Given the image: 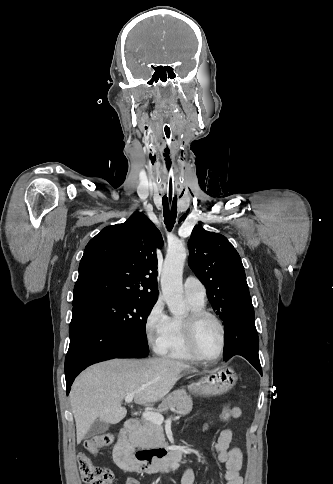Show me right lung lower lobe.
<instances>
[{"mask_svg":"<svg viewBox=\"0 0 333 484\" xmlns=\"http://www.w3.org/2000/svg\"><path fill=\"white\" fill-rule=\"evenodd\" d=\"M65 359L67 394L75 377L87 366L115 357L141 358L149 351L113 328L99 314L74 305Z\"/></svg>","mask_w":333,"mask_h":484,"instance_id":"1","label":"right lung lower lobe"}]
</instances>
